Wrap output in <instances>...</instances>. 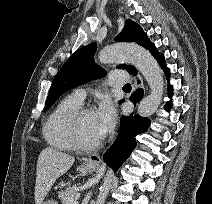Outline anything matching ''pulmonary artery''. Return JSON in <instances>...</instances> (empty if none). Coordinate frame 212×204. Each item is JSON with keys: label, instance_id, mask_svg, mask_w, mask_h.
Masks as SVG:
<instances>
[{"label": "pulmonary artery", "instance_id": "1", "mask_svg": "<svg viewBox=\"0 0 212 204\" xmlns=\"http://www.w3.org/2000/svg\"><path fill=\"white\" fill-rule=\"evenodd\" d=\"M128 81V76L125 73L117 72L113 73L108 78V85L112 87H117L125 84ZM73 96L79 101L83 102L86 97V92L84 89H77L73 93Z\"/></svg>", "mask_w": 212, "mask_h": 204}]
</instances>
